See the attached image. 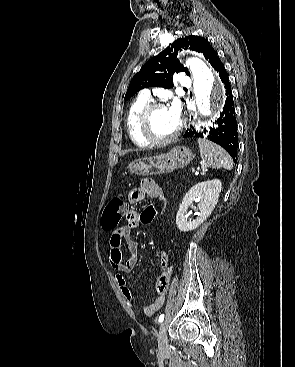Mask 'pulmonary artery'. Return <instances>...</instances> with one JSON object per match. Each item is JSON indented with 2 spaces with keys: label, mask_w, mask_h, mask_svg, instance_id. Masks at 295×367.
<instances>
[{
  "label": "pulmonary artery",
  "mask_w": 295,
  "mask_h": 367,
  "mask_svg": "<svg viewBox=\"0 0 295 367\" xmlns=\"http://www.w3.org/2000/svg\"><path fill=\"white\" fill-rule=\"evenodd\" d=\"M180 85L184 88H190L191 85H192L191 79L186 75H182L181 78H180ZM140 97L144 98V99H149L150 98V91L147 90V89L141 91Z\"/></svg>",
  "instance_id": "pulmonary-artery-1"
}]
</instances>
